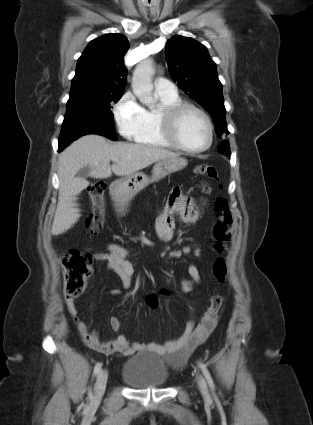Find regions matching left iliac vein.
I'll list each match as a JSON object with an SVG mask.
<instances>
[{"mask_svg":"<svg viewBox=\"0 0 313 425\" xmlns=\"http://www.w3.org/2000/svg\"><path fill=\"white\" fill-rule=\"evenodd\" d=\"M197 383H198V387H199L200 391L202 392V394L205 395V396H208L206 382L201 375L197 376Z\"/></svg>","mask_w":313,"mask_h":425,"instance_id":"left-iliac-vein-1","label":"left iliac vein"}]
</instances>
